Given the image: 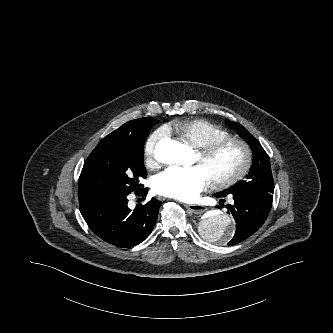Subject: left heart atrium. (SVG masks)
I'll return each instance as SVG.
<instances>
[{"mask_svg": "<svg viewBox=\"0 0 333 333\" xmlns=\"http://www.w3.org/2000/svg\"><path fill=\"white\" fill-rule=\"evenodd\" d=\"M210 177L200 165L170 167L160 173L154 183L155 191L181 201H191L210 183Z\"/></svg>", "mask_w": 333, "mask_h": 333, "instance_id": "39dd6f15", "label": "left heart atrium"}]
</instances>
